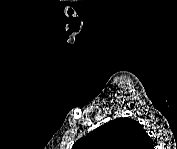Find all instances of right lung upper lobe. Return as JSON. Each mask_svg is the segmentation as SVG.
Returning <instances> with one entry per match:
<instances>
[{
  "instance_id": "1",
  "label": "right lung upper lobe",
  "mask_w": 177,
  "mask_h": 149,
  "mask_svg": "<svg viewBox=\"0 0 177 149\" xmlns=\"http://www.w3.org/2000/svg\"><path fill=\"white\" fill-rule=\"evenodd\" d=\"M148 134L138 121L116 118L77 140L72 149H146Z\"/></svg>"
}]
</instances>
